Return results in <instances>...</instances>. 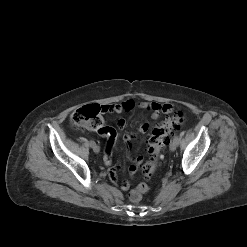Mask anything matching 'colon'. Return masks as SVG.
Here are the masks:
<instances>
[{
	"mask_svg": "<svg viewBox=\"0 0 247 247\" xmlns=\"http://www.w3.org/2000/svg\"><path fill=\"white\" fill-rule=\"evenodd\" d=\"M105 112L103 106L97 104L85 105L71 115V123L73 126L82 129L99 131L103 126L102 114ZM185 122V116L182 112H177L160 126L153 129L148 139L149 159L143 165L142 171L146 178H150L155 173L161 151L168 141V138L176 131L180 130ZM149 191V187L145 183H140L130 194V200L138 202L142 196Z\"/></svg>",
	"mask_w": 247,
	"mask_h": 247,
	"instance_id": "5ec220e1",
	"label": "colon"
}]
</instances>
